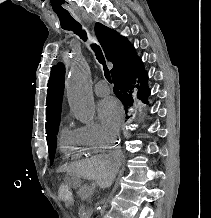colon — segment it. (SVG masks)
<instances>
[{"instance_id": "1", "label": "colon", "mask_w": 211, "mask_h": 218, "mask_svg": "<svg viewBox=\"0 0 211 218\" xmlns=\"http://www.w3.org/2000/svg\"><path fill=\"white\" fill-rule=\"evenodd\" d=\"M58 196L62 201H69L72 199V192L71 189L68 185L66 184H61L58 187Z\"/></svg>"}]
</instances>
